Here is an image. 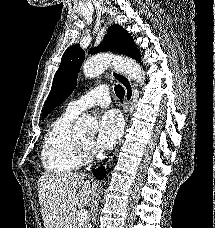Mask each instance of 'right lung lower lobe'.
Wrapping results in <instances>:
<instances>
[{
	"mask_svg": "<svg viewBox=\"0 0 215 228\" xmlns=\"http://www.w3.org/2000/svg\"><path fill=\"white\" fill-rule=\"evenodd\" d=\"M94 176L99 179V180H102L105 176V170L103 167H100L96 170H94Z\"/></svg>",
	"mask_w": 215,
	"mask_h": 228,
	"instance_id": "98d812e1",
	"label": "right lung lower lobe"
}]
</instances>
